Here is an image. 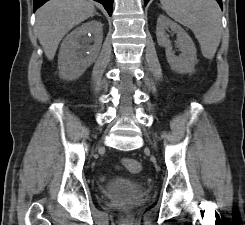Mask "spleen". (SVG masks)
Listing matches in <instances>:
<instances>
[{
  "mask_svg": "<svg viewBox=\"0 0 245 225\" xmlns=\"http://www.w3.org/2000/svg\"><path fill=\"white\" fill-rule=\"evenodd\" d=\"M162 9L175 21L190 28L201 52L213 59L221 40V10L215 0H160Z\"/></svg>",
  "mask_w": 245,
  "mask_h": 225,
  "instance_id": "spleen-1",
  "label": "spleen"
}]
</instances>
